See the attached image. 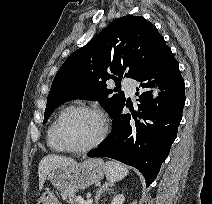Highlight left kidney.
<instances>
[{
	"label": "left kidney",
	"mask_w": 212,
	"mask_h": 204,
	"mask_svg": "<svg viewBox=\"0 0 212 204\" xmlns=\"http://www.w3.org/2000/svg\"><path fill=\"white\" fill-rule=\"evenodd\" d=\"M124 201H125L124 195H123V194H119V195H116V196L113 198L111 204H123Z\"/></svg>",
	"instance_id": "1"
}]
</instances>
